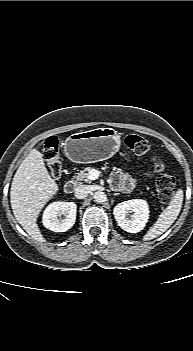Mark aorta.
<instances>
[{
	"label": "aorta",
	"instance_id": "obj_1",
	"mask_svg": "<svg viewBox=\"0 0 193 351\" xmlns=\"http://www.w3.org/2000/svg\"><path fill=\"white\" fill-rule=\"evenodd\" d=\"M94 201L97 203H103L106 201V194L102 191H96L93 195Z\"/></svg>",
	"mask_w": 193,
	"mask_h": 351
}]
</instances>
